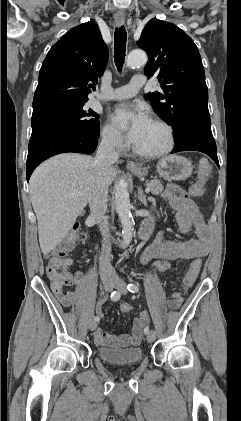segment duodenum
<instances>
[{"label": "duodenum", "instance_id": "duodenum-1", "mask_svg": "<svg viewBox=\"0 0 241 421\" xmlns=\"http://www.w3.org/2000/svg\"><path fill=\"white\" fill-rule=\"evenodd\" d=\"M153 221L152 219L146 220L140 228V237L143 240L149 238L152 231Z\"/></svg>", "mask_w": 241, "mask_h": 421}]
</instances>
